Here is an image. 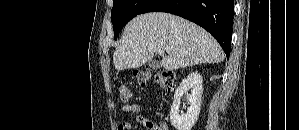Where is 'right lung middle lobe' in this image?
<instances>
[{"instance_id":"right-lung-middle-lobe-1","label":"right lung middle lobe","mask_w":299,"mask_h":130,"mask_svg":"<svg viewBox=\"0 0 299 130\" xmlns=\"http://www.w3.org/2000/svg\"><path fill=\"white\" fill-rule=\"evenodd\" d=\"M150 0H114L111 12V21L114 28V39H117L121 29L133 17L138 15L141 9Z\"/></svg>"}]
</instances>
